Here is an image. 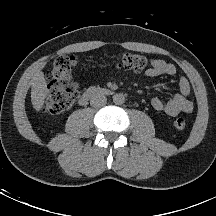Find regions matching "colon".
<instances>
[{
    "label": "colon",
    "instance_id": "obj_1",
    "mask_svg": "<svg viewBox=\"0 0 216 216\" xmlns=\"http://www.w3.org/2000/svg\"><path fill=\"white\" fill-rule=\"evenodd\" d=\"M114 66L120 69L143 71L153 65V60L136 53H119L111 57ZM77 59L74 55H61L53 63L49 73V80L53 85L47 93L44 103V112L47 114H58L69 110L78 97V85L73 80L74 67ZM187 120L180 116L175 119L173 125L177 130L186 127Z\"/></svg>",
    "mask_w": 216,
    "mask_h": 216
}]
</instances>
